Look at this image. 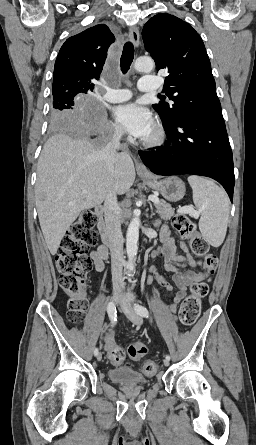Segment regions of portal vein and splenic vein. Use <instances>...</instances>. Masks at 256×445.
Here are the masks:
<instances>
[{"label": "portal vein and splenic vein", "mask_w": 256, "mask_h": 445, "mask_svg": "<svg viewBox=\"0 0 256 445\" xmlns=\"http://www.w3.org/2000/svg\"><path fill=\"white\" fill-rule=\"evenodd\" d=\"M82 192H83V193H86L87 191H86V190H83ZM149 199H150L151 201H153L154 203H159V199H158L156 196H150ZM178 212H179V213L189 214V215H192V216H198V214H199V213H198L197 211H195V210L193 209V207H191V206L183 207V208H181Z\"/></svg>", "instance_id": "1"}]
</instances>
